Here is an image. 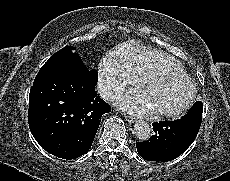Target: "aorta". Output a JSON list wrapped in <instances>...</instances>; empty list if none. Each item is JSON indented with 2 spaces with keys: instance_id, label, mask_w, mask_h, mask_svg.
Returning <instances> with one entry per match:
<instances>
[{
  "instance_id": "1",
  "label": "aorta",
  "mask_w": 230,
  "mask_h": 181,
  "mask_svg": "<svg viewBox=\"0 0 230 181\" xmlns=\"http://www.w3.org/2000/svg\"><path fill=\"white\" fill-rule=\"evenodd\" d=\"M153 133L152 127L147 121L140 120L134 124V134L140 141H147Z\"/></svg>"
}]
</instances>
